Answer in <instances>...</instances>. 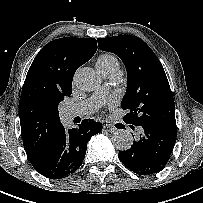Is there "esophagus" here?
<instances>
[{"instance_id":"obj_1","label":"esophagus","mask_w":203,"mask_h":203,"mask_svg":"<svg viewBox=\"0 0 203 203\" xmlns=\"http://www.w3.org/2000/svg\"><path fill=\"white\" fill-rule=\"evenodd\" d=\"M103 127H104V128H109V129H111L112 131L115 130V127H114L113 123L110 122V121H108V120H104V121H103Z\"/></svg>"}]
</instances>
